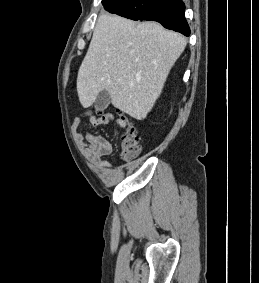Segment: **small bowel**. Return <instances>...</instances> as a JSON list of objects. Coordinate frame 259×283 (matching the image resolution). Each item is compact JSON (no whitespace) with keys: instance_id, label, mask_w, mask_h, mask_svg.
Returning <instances> with one entry per match:
<instances>
[{"instance_id":"c3829d8e","label":"small bowel","mask_w":259,"mask_h":283,"mask_svg":"<svg viewBox=\"0 0 259 283\" xmlns=\"http://www.w3.org/2000/svg\"><path fill=\"white\" fill-rule=\"evenodd\" d=\"M115 121L117 125L125 129V124L120 119H115L112 114H105L100 117L92 116L90 117V123L93 126H102L109 122ZM81 118L76 117L73 121V127L77 129L81 125ZM85 140L87 142V156L88 158L101 165L106 170H111L112 165L106 159L107 156L111 153V144L110 142L99 135H95L93 133H86ZM121 171L118 172V174Z\"/></svg>"}]
</instances>
